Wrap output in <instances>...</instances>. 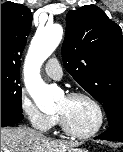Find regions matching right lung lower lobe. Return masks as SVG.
Segmentation results:
<instances>
[{
	"label": "right lung lower lobe",
	"mask_w": 123,
	"mask_h": 152,
	"mask_svg": "<svg viewBox=\"0 0 123 152\" xmlns=\"http://www.w3.org/2000/svg\"><path fill=\"white\" fill-rule=\"evenodd\" d=\"M23 119L21 113H13L6 110H1V127L13 125Z\"/></svg>",
	"instance_id": "right-lung-lower-lobe-1"
}]
</instances>
